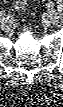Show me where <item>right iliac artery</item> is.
Returning a JSON list of instances; mask_svg holds the SVG:
<instances>
[{
    "label": "right iliac artery",
    "mask_w": 63,
    "mask_h": 107,
    "mask_svg": "<svg viewBox=\"0 0 63 107\" xmlns=\"http://www.w3.org/2000/svg\"><path fill=\"white\" fill-rule=\"evenodd\" d=\"M0 16H1V19L5 20L6 22H10L13 19L11 15L4 16V14H1Z\"/></svg>",
    "instance_id": "obj_1"
}]
</instances>
